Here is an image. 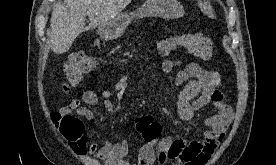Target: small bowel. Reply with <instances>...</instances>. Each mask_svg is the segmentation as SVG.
<instances>
[{
	"label": "small bowel",
	"mask_w": 276,
	"mask_h": 165,
	"mask_svg": "<svg viewBox=\"0 0 276 165\" xmlns=\"http://www.w3.org/2000/svg\"><path fill=\"white\" fill-rule=\"evenodd\" d=\"M161 67L166 73L175 68L179 69L175 83L177 86H182V90L178 96L177 110L183 121L192 124L195 113L205 106L210 105L215 109L216 114L205 122L208 130L202 140L164 138L156 146L146 143L141 146L133 162L126 160L129 153L127 140L117 143L104 140L101 145H98L95 142H89L88 134L83 132L80 140L76 144H71L72 148L79 154L88 152L103 165H152L156 159L161 165L169 162H176L178 165H206L223 141L233 119V111L224 101L220 90V76L214 70L206 69L194 62H184L178 58L165 59ZM128 87V79L121 77L114 83L113 90L118 96H122ZM113 90L105 88L100 93L104 99V106L110 113L117 109L111 99ZM98 99L96 91L86 90L82 95V101L87 106H82L80 100L74 99L58 113L62 116L93 120L94 115L90 107L95 106Z\"/></svg>",
	"instance_id": "obj_1"
}]
</instances>
